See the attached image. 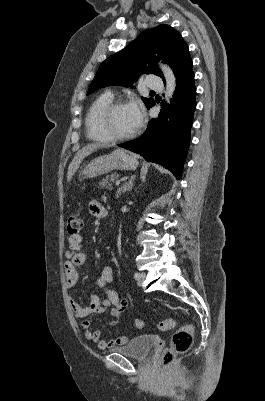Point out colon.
I'll return each mask as SVG.
<instances>
[{
    "label": "colon",
    "mask_w": 265,
    "mask_h": 401,
    "mask_svg": "<svg viewBox=\"0 0 265 401\" xmlns=\"http://www.w3.org/2000/svg\"><path fill=\"white\" fill-rule=\"evenodd\" d=\"M82 221L76 214H72L67 220V231L70 235H76L80 232ZM173 319H166L158 324L161 331H167L175 327ZM144 326L143 320L137 319L135 327L140 329ZM194 328L192 325H185L177 329L172 335L169 346L162 354V364L164 367H169L174 361L175 357L179 354L186 353L190 350L193 343Z\"/></svg>",
    "instance_id": "5ec220e1"
}]
</instances>
